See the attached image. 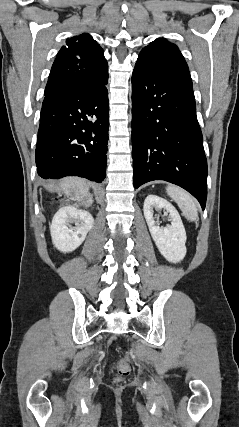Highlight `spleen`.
Listing matches in <instances>:
<instances>
[{
    "mask_svg": "<svg viewBox=\"0 0 239 427\" xmlns=\"http://www.w3.org/2000/svg\"><path fill=\"white\" fill-rule=\"evenodd\" d=\"M167 194L172 198L183 215L190 221H196L198 218V211L193 198L184 190L176 186H168L166 188Z\"/></svg>",
    "mask_w": 239,
    "mask_h": 427,
    "instance_id": "1",
    "label": "spleen"
}]
</instances>
